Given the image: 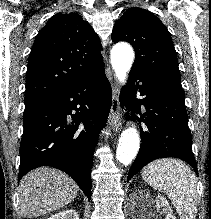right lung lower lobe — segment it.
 Returning a JSON list of instances; mask_svg holds the SVG:
<instances>
[{
	"instance_id": "1",
	"label": "right lung lower lobe",
	"mask_w": 211,
	"mask_h": 219,
	"mask_svg": "<svg viewBox=\"0 0 211 219\" xmlns=\"http://www.w3.org/2000/svg\"><path fill=\"white\" fill-rule=\"evenodd\" d=\"M111 101V86L102 67L53 96L25 106L18 180L39 166L55 167L70 175L90 201L94 148Z\"/></svg>"
}]
</instances>
